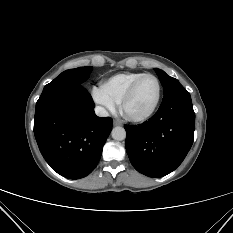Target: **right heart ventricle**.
<instances>
[{
	"mask_svg": "<svg viewBox=\"0 0 233 233\" xmlns=\"http://www.w3.org/2000/svg\"><path fill=\"white\" fill-rule=\"evenodd\" d=\"M143 74L145 73L142 72L119 73L110 77L106 81L105 85L110 91V93L114 96V98L118 102H120L122 101L124 95L126 94L131 84Z\"/></svg>",
	"mask_w": 233,
	"mask_h": 233,
	"instance_id": "obj_1",
	"label": "right heart ventricle"
}]
</instances>
